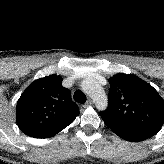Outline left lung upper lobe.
I'll return each mask as SVG.
<instances>
[{"label": "left lung upper lobe", "mask_w": 164, "mask_h": 164, "mask_svg": "<svg viewBox=\"0 0 164 164\" xmlns=\"http://www.w3.org/2000/svg\"><path fill=\"white\" fill-rule=\"evenodd\" d=\"M109 106L100 114L132 129L157 134L164 123V100L148 83L133 74L109 79Z\"/></svg>", "instance_id": "obj_1"}]
</instances>
